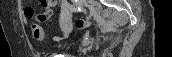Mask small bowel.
Instances as JSON below:
<instances>
[{"mask_svg": "<svg viewBox=\"0 0 172 57\" xmlns=\"http://www.w3.org/2000/svg\"><path fill=\"white\" fill-rule=\"evenodd\" d=\"M40 3L45 8L44 12L35 15L34 9L30 6L32 8V14L29 15L24 10V17L26 19L35 18L38 22H41V23L48 21L51 18L52 14H53V9L57 5V1L56 0H40ZM39 27L42 29V27L40 25H39ZM42 31H43V29H42ZM32 32H33V30H32V27H31V34H32ZM44 38H45V36H44V32H43L42 37L40 39H38V40H43Z\"/></svg>", "mask_w": 172, "mask_h": 57, "instance_id": "small-bowel-1", "label": "small bowel"}]
</instances>
